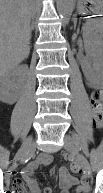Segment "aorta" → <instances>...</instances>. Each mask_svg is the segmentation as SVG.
Wrapping results in <instances>:
<instances>
[{"label": "aorta", "instance_id": "aorta-1", "mask_svg": "<svg viewBox=\"0 0 103 193\" xmlns=\"http://www.w3.org/2000/svg\"><path fill=\"white\" fill-rule=\"evenodd\" d=\"M74 0H57V11L64 22H68L73 12Z\"/></svg>", "mask_w": 103, "mask_h": 193}]
</instances>
